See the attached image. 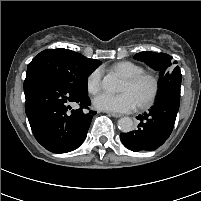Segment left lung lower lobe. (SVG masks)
<instances>
[{
    "label": "left lung lower lobe",
    "mask_w": 201,
    "mask_h": 201,
    "mask_svg": "<svg viewBox=\"0 0 201 201\" xmlns=\"http://www.w3.org/2000/svg\"><path fill=\"white\" fill-rule=\"evenodd\" d=\"M180 103V88L171 87L158 95L149 112L139 115L138 129L121 133L124 146L134 152L157 149L170 136Z\"/></svg>",
    "instance_id": "1"
}]
</instances>
